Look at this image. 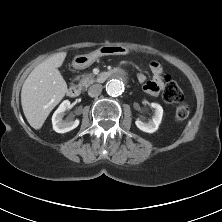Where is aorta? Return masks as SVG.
Listing matches in <instances>:
<instances>
[{"instance_id": "aorta-1", "label": "aorta", "mask_w": 222, "mask_h": 222, "mask_svg": "<svg viewBox=\"0 0 222 222\" xmlns=\"http://www.w3.org/2000/svg\"><path fill=\"white\" fill-rule=\"evenodd\" d=\"M126 77L118 75L106 84V91L111 96H118L124 92Z\"/></svg>"}]
</instances>
